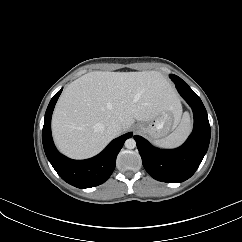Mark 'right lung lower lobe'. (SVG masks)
Segmentation results:
<instances>
[{
	"instance_id": "98d812e1",
	"label": "right lung lower lobe",
	"mask_w": 242,
	"mask_h": 242,
	"mask_svg": "<svg viewBox=\"0 0 242 242\" xmlns=\"http://www.w3.org/2000/svg\"><path fill=\"white\" fill-rule=\"evenodd\" d=\"M62 89L51 99L45 113L42 141L46 156L58 173L67 183L78 188H90L104 183L112 174L116 157L125 140L133 136L126 133L113 141L97 156L87 160H72L58 152L51 136V116Z\"/></svg>"
}]
</instances>
